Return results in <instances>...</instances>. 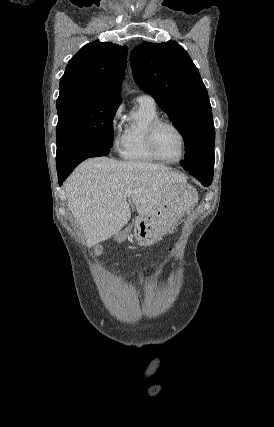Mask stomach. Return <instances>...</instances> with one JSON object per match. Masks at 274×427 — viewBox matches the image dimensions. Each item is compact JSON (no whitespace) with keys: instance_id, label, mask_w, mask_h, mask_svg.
I'll return each instance as SVG.
<instances>
[{"instance_id":"obj_1","label":"stomach","mask_w":274,"mask_h":427,"mask_svg":"<svg viewBox=\"0 0 274 427\" xmlns=\"http://www.w3.org/2000/svg\"><path fill=\"white\" fill-rule=\"evenodd\" d=\"M195 196V190L185 184L183 194L177 196V200H171L168 204L161 202L150 214L137 215L132 219L131 225L116 233L115 239L125 241L133 227V235L140 245H153L161 235H165L177 225L179 219L177 215H183L186 206H195Z\"/></svg>"}]
</instances>
